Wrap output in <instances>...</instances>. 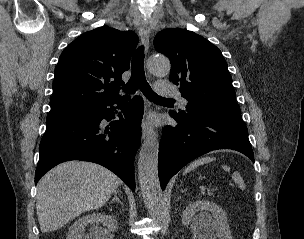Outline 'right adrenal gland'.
Segmentation results:
<instances>
[{"label":"right adrenal gland","mask_w":304,"mask_h":239,"mask_svg":"<svg viewBox=\"0 0 304 239\" xmlns=\"http://www.w3.org/2000/svg\"><path fill=\"white\" fill-rule=\"evenodd\" d=\"M117 193L118 192H114V197H113V199L111 200V202H118V203H120L121 205H123V203L121 202V200L119 199V197L117 196Z\"/></svg>","instance_id":"2a0ac1e0"}]
</instances>
